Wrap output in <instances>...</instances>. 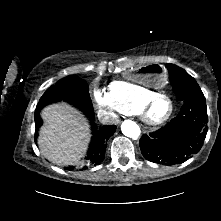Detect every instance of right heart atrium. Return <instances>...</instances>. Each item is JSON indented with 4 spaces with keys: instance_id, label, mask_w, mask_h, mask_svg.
Wrapping results in <instances>:
<instances>
[{
    "instance_id": "d8ad5b80",
    "label": "right heart atrium",
    "mask_w": 221,
    "mask_h": 221,
    "mask_svg": "<svg viewBox=\"0 0 221 221\" xmlns=\"http://www.w3.org/2000/svg\"><path fill=\"white\" fill-rule=\"evenodd\" d=\"M93 97L97 106L102 112L112 118L122 114L121 108L115 103L109 92L104 89L95 87L93 89Z\"/></svg>"
}]
</instances>
